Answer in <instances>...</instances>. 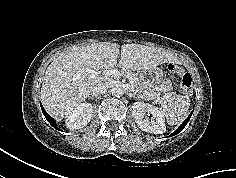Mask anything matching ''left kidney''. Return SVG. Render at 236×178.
<instances>
[{"label":"left kidney","instance_id":"5707ae66","mask_svg":"<svg viewBox=\"0 0 236 178\" xmlns=\"http://www.w3.org/2000/svg\"><path fill=\"white\" fill-rule=\"evenodd\" d=\"M133 117L138 127L145 132L163 134L166 131L165 119L162 110L144 102H135L132 106ZM146 113L152 115L153 121L145 118Z\"/></svg>","mask_w":236,"mask_h":178}]
</instances>
